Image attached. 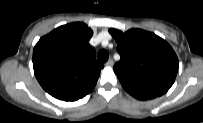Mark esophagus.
I'll return each mask as SVG.
<instances>
[{
	"label": "esophagus",
	"instance_id": "esophagus-1",
	"mask_svg": "<svg viewBox=\"0 0 203 123\" xmlns=\"http://www.w3.org/2000/svg\"><path fill=\"white\" fill-rule=\"evenodd\" d=\"M113 64H114V61H113L112 59H109V60L105 63L106 66H113Z\"/></svg>",
	"mask_w": 203,
	"mask_h": 123
}]
</instances>
